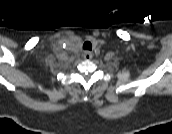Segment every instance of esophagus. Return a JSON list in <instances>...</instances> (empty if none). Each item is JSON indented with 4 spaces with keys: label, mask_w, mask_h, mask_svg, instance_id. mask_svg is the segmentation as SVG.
I'll list each match as a JSON object with an SVG mask.
<instances>
[{
    "label": "esophagus",
    "mask_w": 172,
    "mask_h": 134,
    "mask_svg": "<svg viewBox=\"0 0 172 134\" xmlns=\"http://www.w3.org/2000/svg\"><path fill=\"white\" fill-rule=\"evenodd\" d=\"M83 58L86 60H90L92 58V53L88 50L83 52Z\"/></svg>",
    "instance_id": "1"
}]
</instances>
